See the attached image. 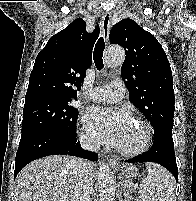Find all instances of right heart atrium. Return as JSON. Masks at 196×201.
Returning <instances> with one entry per match:
<instances>
[{
    "label": "right heart atrium",
    "instance_id": "1",
    "mask_svg": "<svg viewBox=\"0 0 196 201\" xmlns=\"http://www.w3.org/2000/svg\"><path fill=\"white\" fill-rule=\"evenodd\" d=\"M80 139H81V142L86 146L92 147L96 145L95 140L89 134L85 132H81Z\"/></svg>",
    "mask_w": 196,
    "mask_h": 201
}]
</instances>
